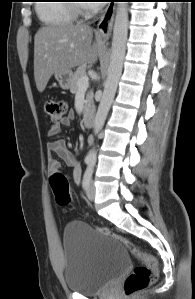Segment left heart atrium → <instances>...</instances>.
Listing matches in <instances>:
<instances>
[{
  "mask_svg": "<svg viewBox=\"0 0 195 299\" xmlns=\"http://www.w3.org/2000/svg\"><path fill=\"white\" fill-rule=\"evenodd\" d=\"M91 2H93V3H91V4H89L90 6H93V7H99V6H102L103 4V2H101V1H98V0H92Z\"/></svg>",
  "mask_w": 195,
  "mask_h": 299,
  "instance_id": "39dd6f15",
  "label": "left heart atrium"
}]
</instances>
